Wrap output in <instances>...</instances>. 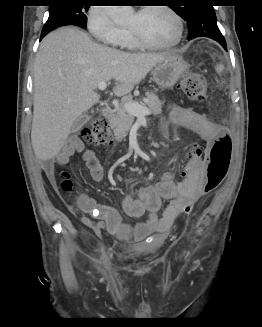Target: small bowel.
<instances>
[{"label": "small bowel", "mask_w": 262, "mask_h": 327, "mask_svg": "<svg viewBox=\"0 0 262 327\" xmlns=\"http://www.w3.org/2000/svg\"><path fill=\"white\" fill-rule=\"evenodd\" d=\"M170 121L188 129L208 145L215 142L214 136L218 135V129H223L211 122L204 114L177 105L170 107ZM75 153L82 154L83 161L93 180L100 183L104 176V169L100 161L94 152L86 149L76 136L69 139L56 156L55 163L65 165L70 156ZM208 159V153H185V159L175 160V165L182 170L183 180L175 181L170 173H166L155 185L142 187L138 198L125 196L122 199L124 212L133 218L145 216L143 221L133 226L123 223L115 208L100 205L84 193L77 197V208L97 220L83 217L81 221L97 234L101 233L105 227L111 235L126 241H138L154 232L164 233L170 228L175 218L181 214L182 207L190 197H195L196 201L200 198L202 183L206 182L204 166L200 160ZM44 170L47 175H51L53 164L46 165ZM164 199L169 200V204L164 213L159 215L161 201Z\"/></svg>", "instance_id": "c3829d8e"}]
</instances>
